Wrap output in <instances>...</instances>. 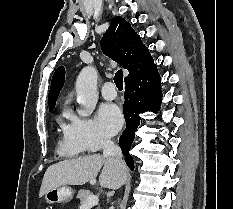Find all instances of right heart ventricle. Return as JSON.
<instances>
[{
	"mask_svg": "<svg viewBox=\"0 0 233 209\" xmlns=\"http://www.w3.org/2000/svg\"><path fill=\"white\" fill-rule=\"evenodd\" d=\"M68 112L65 110L62 115L58 116L57 121L63 130V138L59 141L58 144V153L63 157H77L84 153V149L72 143L67 135L66 129L68 125L64 121V116H66Z\"/></svg>",
	"mask_w": 233,
	"mask_h": 209,
	"instance_id": "obj_1",
	"label": "right heart ventricle"
}]
</instances>
